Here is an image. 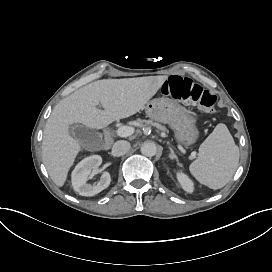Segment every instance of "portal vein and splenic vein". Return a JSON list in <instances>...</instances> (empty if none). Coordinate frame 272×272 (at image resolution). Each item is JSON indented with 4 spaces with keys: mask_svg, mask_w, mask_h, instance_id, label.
<instances>
[{
    "mask_svg": "<svg viewBox=\"0 0 272 272\" xmlns=\"http://www.w3.org/2000/svg\"><path fill=\"white\" fill-rule=\"evenodd\" d=\"M133 133V128L128 126H120L116 129V135L119 137H128Z\"/></svg>",
    "mask_w": 272,
    "mask_h": 272,
    "instance_id": "1",
    "label": "portal vein and splenic vein"
}]
</instances>
